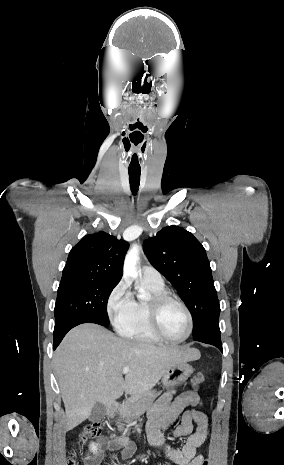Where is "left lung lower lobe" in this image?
<instances>
[{
	"mask_svg": "<svg viewBox=\"0 0 284 465\" xmlns=\"http://www.w3.org/2000/svg\"><path fill=\"white\" fill-rule=\"evenodd\" d=\"M195 341H200L203 343L211 344L216 346L218 349L222 350L221 344V333L219 327H213L205 330L204 332L200 333L199 335L193 337Z\"/></svg>",
	"mask_w": 284,
	"mask_h": 465,
	"instance_id": "left-lung-lower-lobe-1",
	"label": "left lung lower lobe"
}]
</instances>
